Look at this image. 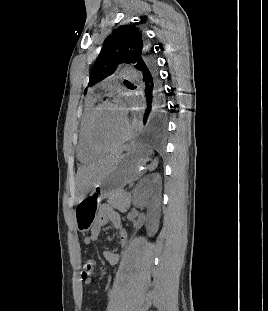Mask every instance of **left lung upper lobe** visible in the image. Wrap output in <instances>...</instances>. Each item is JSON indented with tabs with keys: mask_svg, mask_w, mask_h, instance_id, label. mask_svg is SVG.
I'll return each instance as SVG.
<instances>
[{
	"mask_svg": "<svg viewBox=\"0 0 268 311\" xmlns=\"http://www.w3.org/2000/svg\"><path fill=\"white\" fill-rule=\"evenodd\" d=\"M143 49L142 32L133 25L120 26L106 39L92 68L88 85L93 86L112 75L120 63L132 64L137 69L147 54Z\"/></svg>",
	"mask_w": 268,
	"mask_h": 311,
	"instance_id": "1",
	"label": "left lung upper lobe"
}]
</instances>
